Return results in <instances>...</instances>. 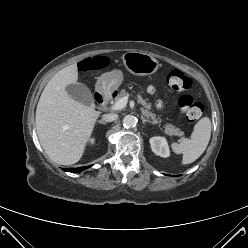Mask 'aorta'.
<instances>
[{"label": "aorta", "mask_w": 248, "mask_h": 248, "mask_svg": "<svg viewBox=\"0 0 248 248\" xmlns=\"http://www.w3.org/2000/svg\"><path fill=\"white\" fill-rule=\"evenodd\" d=\"M136 124H137V118L133 115H126L123 118V126L125 128H132L136 126Z\"/></svg>", "instance_id": "1"}]
</instances>
